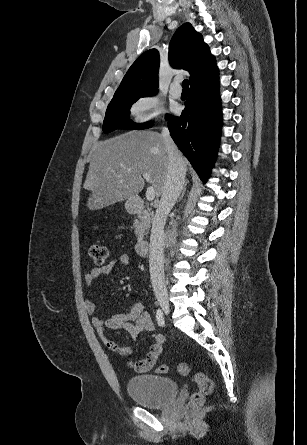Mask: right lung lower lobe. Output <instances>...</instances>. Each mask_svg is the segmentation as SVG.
<instances>
[{"label": "right lung lower lobe", "mask_w": 307, "mask_h": 445, "mask_svg": "<svg viewBox=\"0 0 307 445\" xmlns=\"http://www.w3.org/2000/svg\"><path fill=\"white\" fill-rule=\"evenodd\" d=\"M185 105L180 117H166L168 128L200 179L206 182L216 157L222 125L216 66L191 83Z\"/></svg>", "instance_id": "1"}]
</instances>
